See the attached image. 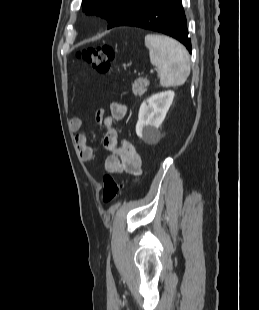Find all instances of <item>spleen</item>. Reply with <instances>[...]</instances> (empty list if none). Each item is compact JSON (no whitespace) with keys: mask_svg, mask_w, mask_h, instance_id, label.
<instances>
[{"mask_svg":"<svg viewBox=\"0 0 259 310\" xmlns=\"http://www.w3.org/2000/svg\"><path fill=\"white\" fill-rule=\"evenodd\" d=\"M150 62L159 71L160 85L171 87L183 85L190 74V57L186 48L176 40L158 34L145 36Z\"/></svg>","mask_w":259,"mask_h":310,"instance_id":"1","label":"spleen"}]
</instances>
